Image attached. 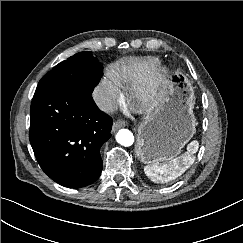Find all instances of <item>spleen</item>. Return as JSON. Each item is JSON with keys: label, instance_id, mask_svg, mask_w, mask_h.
I'll return each mask as SVG.
<instances>
[{"label": "spleen", "instance_id": "obj_1", "mask_svg": "<svg viewBox=\"0 0 243 243\" xmlns=\"http://www.w3.org/2000/svg\"><path fill=\"white\" fill-rule=\"evenodd\" d=\"M199 143L194 140L187 146V152L167 163H154L144 167L145 174L154 182L167 183L182 175L195 161L194 153Z\"/></svg>", "mask_w": 243, "mask_h": 243}]
</instances>
